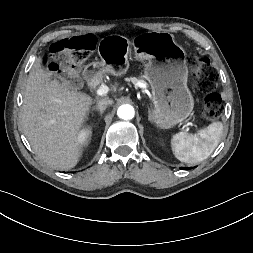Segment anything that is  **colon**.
<instances>
[{"label":"colon","instance_id":"1","mask_svg":"<svg viewBox=\"0 0 253 253\" xmlns=\"http://www.w3.org/2000/svg\"><path fill=\"white\" fill-rule=\"evenodd\" d=\"M94 46L92 36L73 37L53 44L50 50L52 69L58 71L62 67L66 73L70 65L82 63ZM187 64L198 88L208 93L204 101V117L209 121L217 120L222 114L223 106L220 96L213 92L218 81L216 72L210 67L208 59L194 54L188 56Z\"/></svg>","mask_w":253,"mask_h":253}]
</instances>
